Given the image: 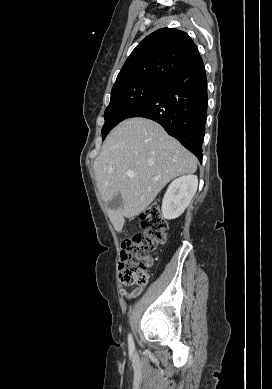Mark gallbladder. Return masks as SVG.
Masks as SVG:
<instances>
[{
	"label": "gallbladder",
	"instance_id": "1",
	"mask_svg": "<svg viewBox=\"0 0 272 389\" xmlns=\"http://www.w3.org/2000/svg\"><path fill=\"white\" fill-rule=\"evenodd\" d=\"M108 205V208L111 209V210H117L121 207L122 205V197L121 195L118 193V194H115L111 200L107 203Z\"/></svg>",
	"mask_w": 272,
	"mask_h": 389
}]
</instances>
